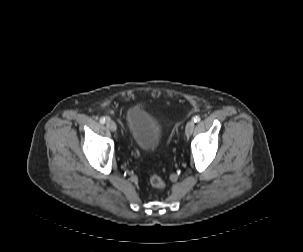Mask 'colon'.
<instances>
[{"instance_id":"obj_1","label":"colon","mask_w":303,"mask_h":252,"mask_svg":"<svg viewBox=\"0 0 303 252\" xmlns=\"http://www.w3.org/2000/svg\"><path fill=\"white\" fill-rule=\"evenodd\" d=\"M150 182L152 186L157 189H163L165 187V181L158 175H152L150 178Z\"/></svg>"}]
</instances>
